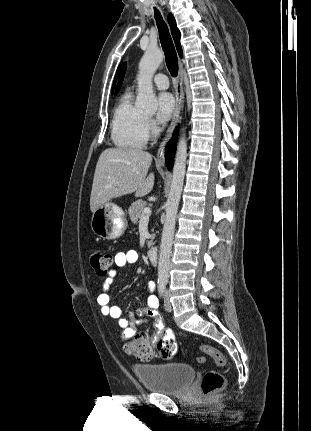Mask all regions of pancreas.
Wrapping results in <instances>:
<instances>
[{"label": "pancreas", "mask_w": 311, "mask_h": 431, "mask_svg": "<svg viewBox=\"0 0 311 431\" xmlns=\"http://www.w3.org/2000/svg\"><path fill=\"white\" fill-rule=\"evenodd\" d=\"M147 202H143V200H136V202H133L132 206L128 208V216H130V219L132 223H138L139 217H141V214L146 208ZM153 231V229H152ZM155 237V233H152L150 239H146L147 247H152L154 245L153 239Z\"/></svg>", "instance_id": "pancreas-1"}]
</instances>
